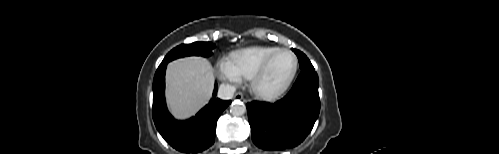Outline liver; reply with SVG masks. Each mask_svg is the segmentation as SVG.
Listing matches in <instances>:
<instances>
[{
    "mask_svg": "<svg viewBox=\"0 0 499 154\" xmlns=\"http://www.w3.org/2000/svg\"><path fill=\"white\" fill-rule=\"evenodd\" d=\"M214 73L210 62L202 57H186L168 64L166 98L177 119L195 115L210 99Z\"/></svg>",
    "mask_w": 499,
    "mask_h": 154,
    "instance_id": "obj_1",
    "label": "liver"
}]
</instances>
